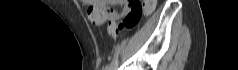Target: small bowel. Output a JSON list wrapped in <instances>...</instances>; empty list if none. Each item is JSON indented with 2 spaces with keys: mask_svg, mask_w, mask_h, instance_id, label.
I'll list each match as a JSON object with an SVG mask.
<instances>
[{
  "mask_svg": "<svg viewBox=\"0 0 238 70\" xmlns=\"http://www.w3.org/2000/svg\"><path fill=\"white\" fill-rule=\"evenodd\" d=\"M84 3L88 6V19L95 25H101L109 19H118L119 21L129 11L126 0H86ZM111 5H121L124 7L123 11L118 12L110 8Z\"/></svg>",
  "mask_w": 238,
  "mask_h": 70,
  "instance_id": "obj_1",
  "label": "small bowel"
}]
</instances>
